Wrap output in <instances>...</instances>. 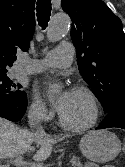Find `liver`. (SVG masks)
Here are the masks:
<instances>
[{
	"instance_id": "obj_1",
	"label": "liver",
	"mask_w": 125,
	"mask_h": 167,
	"mask_svg": "<svg viewBox=\"0 0 125 167\" xmlns=\"http://www.w3.org/2000/svg\"><path fill=\"white\" fill-rule=\"evenodd\" d=\"M66 136L53 139L46 134L40 135L26 129H21L14 123L0 118V159L14 158L23 155L27 151H35L32 144L40 146L33 155L35 161H44L52 153L53 145Z\"/></svg>"
}]
</instances>
